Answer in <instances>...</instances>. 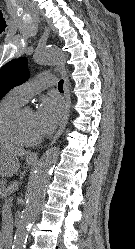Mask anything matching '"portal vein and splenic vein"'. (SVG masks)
<instances>
[{
	"mask_svg": "<svg viewBox=\"0 0 135 249\" xmlns=\"http://www.w3.org/2000/svg\"><path fill=\"white\" fill-rule=\"evenodd\" d=\"M14 200V197L13 196H10L9 197V201L12 202Z\"/></svg>",
	"mask_w": 135,
	"mask_h": 249,
	"instance_id": "obj_1",
	"label": "portal vein and splenic vein"
}]
</instances>
